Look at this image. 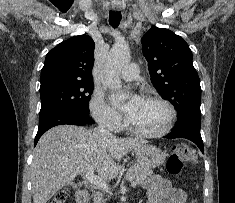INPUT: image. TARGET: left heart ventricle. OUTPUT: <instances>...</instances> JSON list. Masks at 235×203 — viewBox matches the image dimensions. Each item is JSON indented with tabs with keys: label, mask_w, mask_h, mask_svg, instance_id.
<instances>
[{
	"label": "left heart ventricle",
	"mask_w": 235,
	"mask_h": 203,
	"mask_svg": "<svg viewBox=\"0 0 235 203\" xmlns=\"http://www.w3.org/2000/svg\"><path fill=\"white\" fill-rule=\"evenodd\" d=\"M167 115V110L162 104L143 100L128 119L138 129L155 131L164 125Z\"/></svg>",
	"instance_id": "obj_1"
}]
</instances>
